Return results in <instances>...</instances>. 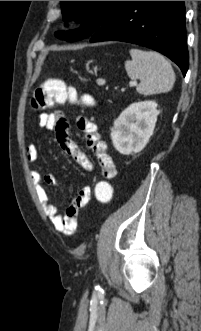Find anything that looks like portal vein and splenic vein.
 Listing matches in <instances>:
<instances>
[{
    "label": "portal vein and splenic vein",
    "mask_w": 201,
    "mask_h": 331,
    "mask_svg": "<svg viewBox=\"0 0 201 331\" xmlns=\"http://www.w3.org/2000/svg\"><path fill=\"white\" fill-rule=\"evenodd\" d=\"M130 84H131V85H134V84H136V82H130Z\"/></svg>",
    "instance_id": "18ae733b"
}]
</instances>
